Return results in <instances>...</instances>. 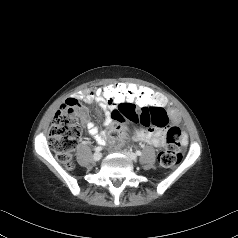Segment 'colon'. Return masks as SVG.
<instances>
[{"mask_svg":"<svg viewBox=\"0 0 238 238\" xmlns=\"http://www.w3.org/2000/svg\"><path fill=\"white\" fill-rule=\"evenodd\" d=\"M96 96L105 104L119 103L120 108L112 111V118L122 123L125 119L140 123L143 126L167 129L171 125L165 108L168 104L166 95L134 83L111 84L101 82L96 87ZM83 108L77 100L68 99L57 111L49 130V144L57 160L67 168H72V152L81 135L79 119ZM122 126L114 127L110 136L112 144L118 146L124 138ZM182 132L176 127L169 128L166 145L158 156L162 167L177 165L181 159Z\"/></svg>","mask_w":238,"mask_h":238,"instance_id":"colon-1","label":"colon"}]
</instances>
